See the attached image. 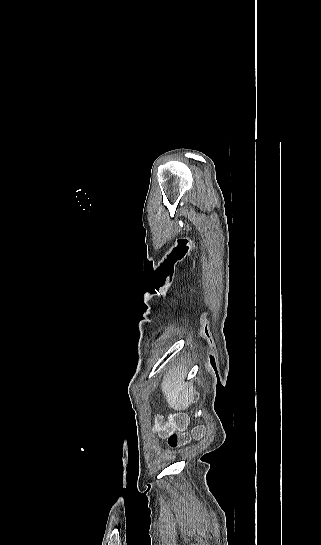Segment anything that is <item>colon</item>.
<instances>
[{
    "instance_id": "obj_1",
    "label": "colon",
    "mask_w": 321,
    "mask_h": 545,
    "mask_svg": "<svg viewBox=\"0 0 321 545\" xmlns=\"http://www.w3.org/2000/svg\"><path fill=\"white\" fill-rule=\"evenodd\" d=\"M187 419L182 414H174L168 418L158 417L155 422V431L166 440L171 448H177L187 444L190 440L188 434L183 432ZM201 434L200 430L195 431V436Z\"/></svg>"
}]
</instances>
